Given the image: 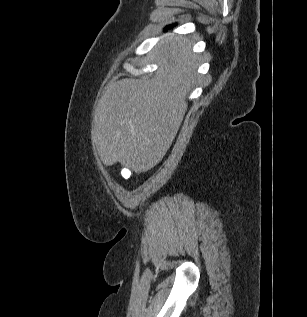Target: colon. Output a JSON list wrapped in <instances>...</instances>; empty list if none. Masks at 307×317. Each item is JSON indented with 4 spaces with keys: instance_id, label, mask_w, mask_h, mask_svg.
<instances>
[{
    "instance_id": "1",
    "label": "colon",
    "mask_w": 307,
    "mask_h": 317,
    "mask_svg": "<svg viewBox=\"0 0 307 317\" xmlns=\"http://www.w3.org/2000/svg\"><path fill=\"white\" fill-rule=\"evenodd\" d=\"M122 175H123L124 177H129V176L131 175V170L128 169V168H123V169H122Z\"/></svg>"
}]
</instances>
